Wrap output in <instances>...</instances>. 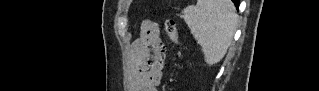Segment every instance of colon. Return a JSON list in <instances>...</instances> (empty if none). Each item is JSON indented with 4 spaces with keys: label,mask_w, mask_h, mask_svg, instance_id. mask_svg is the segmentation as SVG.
I'll return each mask as SVG.
<instances>
[{
    "label": "colon",
    "mask_w": 319,
    "mask_h": 91,
    "mask_svg": "<svg viewBox=\"0 0 319 91\" xmlns=\"http://www.w3.org/2000/svg\"><path fill=\"white\" fill-rule=\"evenodd\" d=\"M165 30L168 35V38L172 43L177 42V28H176V23L173 19L169 18L165 22ZM148 63L150 62L149 60L147 61Z\"/></svg>",
    "instance_id": "obj_1"
}]
</instances>
